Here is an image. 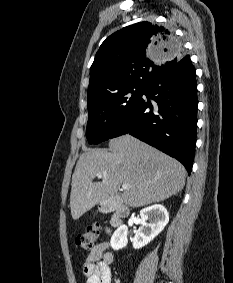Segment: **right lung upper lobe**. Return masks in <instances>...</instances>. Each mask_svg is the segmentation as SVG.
<instances>
[{
	"label": "right lung upper lobe",
	"mask_w": 233,
	"mask_h": 283,
	"mask_svg": "<svg viewBox=\"0 0 233 283\" xmlns=\"http://www.w3.org/2000/svg\"><path fill=\"white\" fill-rule=\"evenodd\" d=\"M182 48L167 28L151 22L113 33L101 44L90 68L88 106L130 86L146 87L189 55V50Z\"/></svg>",
	"instance_id": "1"
}]
</instances>
